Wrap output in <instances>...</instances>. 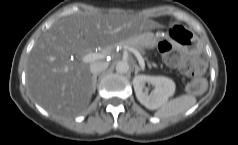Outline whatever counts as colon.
I'll return each mask as SVG.
<instances>
[{"label": "colon", "mask_w": 238, "mask_h": 145, "mask_svg": "<svg viewBox=\"0 0 238 145\" xmlns=\"http://www.w3.org/2000/svg\"><path fill=\"white\" fill-rule=\"evenodd\" d=\"M158 48L167 65L193 78L189 85L190 92L198 94L205 89L206 83L202 76L206 70V60L202 55L187 57L175 51L166 40L160 41Z\"/></svg>", "instance_id": "obj_1"}]
</instances>
